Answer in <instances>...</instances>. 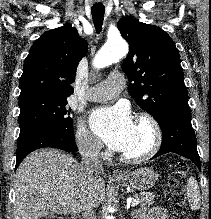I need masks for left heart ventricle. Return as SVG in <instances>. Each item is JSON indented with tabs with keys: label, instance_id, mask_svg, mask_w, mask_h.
Wrapping results in <instances>:
<instances>
[{
	"label": "left heart ventricle",
	"instance_id": "b2bd125f",
	"mask_svg": "<svg viewBox=\"0 0 211 219\" xmlns=\"http://www.w3.org/2000/svg\"><path fill=\"white\" fill-rule=\"evenodd\" d=\"M151 142V131L145 124H135V132L130 145L123 153L135 155L143 152Z\"/></svg>",
	"mask_w": 211,
	"mask_h": 219
}]
</instances>
